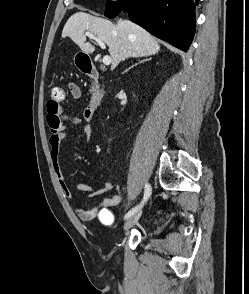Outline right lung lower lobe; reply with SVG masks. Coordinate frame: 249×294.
<instances>
[{"label":"right lung lower lobe","mask_w":249,"mask_h":294,"mask_svg":"<svg viewBox=\"0 0 249 294\" xmlns=\"http://www.w3.org/2000/svg\"><path fill=\"white\" fill-rule=\"evenodd\" d=\"M198 1L129 0L121 11L154 36L186 52L195 33Z\"/></svg>","instance_id":"1"}]
</instances>
